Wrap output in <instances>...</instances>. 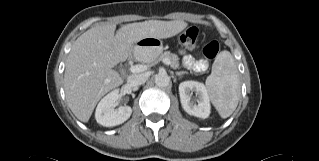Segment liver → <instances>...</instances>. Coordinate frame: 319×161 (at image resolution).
I'll return each instance as SVG.
<instances>
[{
    "instance_id": "liver-1",
    "label": "liver",
    "mask_w": 319,
    "mask_h": 161,
    "mask_svg": "<svg viewBox=\"0 0 319 161\" xmlns=\"http://www.w3.org/2000/svg\"><path fill=\"white\" fill-rule=\"evenodd\" d=\"M187 26L178 20H149L122 25L115 33L114 24L103 23L79 36L64 74L66 101L73 114L88 122L102 96L123 83L113 67L128 58L135 43L148 37L169 38Z\"/></svg>"
}]
</instances>
